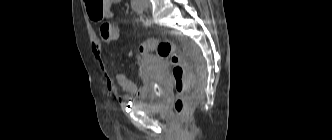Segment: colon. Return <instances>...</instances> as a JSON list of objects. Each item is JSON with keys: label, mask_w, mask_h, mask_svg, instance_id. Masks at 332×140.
<instances>
[{"label": "colon", "mask_w": 332, "mask_h": 140, "mask_svg": "<svg viewBox=\"0 0 332 140\" xmlns=\"http://www.w3.org/2000/svg\"><path fill=\"white\" fill-rule=\"evenodd\" d=\"M107 0H84L91 19L99 21L103 18ZM100 33L108 38L118 39L121 34V26L118 23L104 22L100 25ZM156 51L159 57L166 59L171 64V77L177 92L174 101V110L183 119L193 106L194 99L190 95L192 75L189 64L183 53L178 51L169 40L148 39L139 49L141 56Z\"/></svg>", "instance_id": "5ec220e1"}]
</instances>
